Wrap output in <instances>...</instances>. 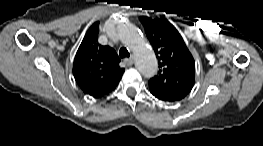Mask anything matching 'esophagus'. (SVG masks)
<instances>
[{
    "instance_id": "34e87169",
    "label": "esophagus",
    "mask_w": 263,
    "mask_h": 146,
    "mask_svg": "<svg viewBox=\"0 0 263 146\" xmlns=\"http://www.w3.org/2000/svg\"><path fill=\"white\" fill-rule=\"evenodd\" d=\"M124 62L127 64V65H132L134 63V58L133 57H130V58H127L124 60Z\"/></svg>"
}]
</instances>
